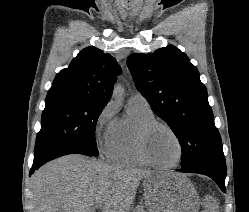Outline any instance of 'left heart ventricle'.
<instances>
[{"label":"left heart ventricle","mask_w":249,"mask_h":212,"mask_svg":"<svg viewBox=\"0 0 249 212\" xmlns=\"http://www.w3.org/2000/svg\"><path fill=\"white\" fill-rule=\"evenodd\" d=\"M147 150L159 164H173L179 157V146L175 138L161 128H156L149 134Z\"/></svg>","instance_id":"left-heart-ventricle-1"}]
</instances>
